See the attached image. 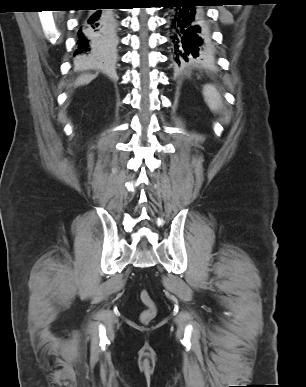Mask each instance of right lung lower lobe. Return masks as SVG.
<instances>
[{
	"label": "right lung lower lobe",
	"instance_id": "right-lung-lower-lobe-1",
	"mask_svg": "<svg viewBox=\"0 0 306 387\" xmlns=\"http://www.w3.org/2000/svg\"><path fill=\"white\" fill-rule=\"evenodd\" d=\"M116 47V19L111 9L84 14L78 31L76 60L85 65L108 63Z\"/></svg>",
	"mask_w": 306,
	"mask_h": 387
}]
</instances>
